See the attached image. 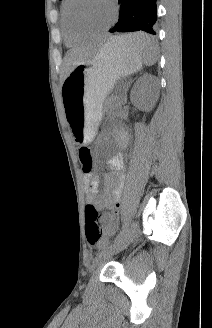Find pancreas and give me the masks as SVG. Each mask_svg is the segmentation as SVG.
I'll return each mask as SVG.
<instances>
[{"instance_id":"1","label":"pancreas","mask_w":212,"mask_h":328,"mask_svg":"<svg viewBox=\"0 0 212 328\" xmlns=\"http://www.w3.org/2000/svg\"><path fill=\"white\" fill-rule=\"evenodd\" d=\"M123 104L122 98L120 96H111L106 101V107L112 113L119 111Z\"/></svg>"}]
</instances>
